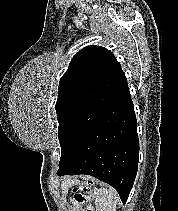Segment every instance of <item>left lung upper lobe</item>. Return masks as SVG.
Returning a JSON list of instances; mask_svg holds the SVG:
<instances>
[{"label": "left lung upper lobe", "instance_id": "5c2ea615", "mask_svg": "<svg viewBox=\"0 0 178 211\" xmlns=\"http://www.w3.org/2000/svg\"><path fill=\"white\" fill-rule=\"evenodd\" d=\"M124 77L111 51L87 46L71 60L60 79L56 113L61 146L59 164L66 161L102 115Z\"/></svg>", "mask_w": 178, "mask_h": 211}]
</instances>
